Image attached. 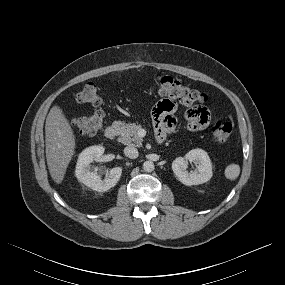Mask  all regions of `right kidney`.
Masks as SVG:
<instances>
[{
  "instance_id": "right-kidney-1",
  "label": "right kidney",
  "mask_w": 285,
  "mask_h": 285,
  "mask_svg": "<svg viewBox=\"0 0 285 285\" xmlns=\"http://www.w3.org/2000/svg\"><path fill=\"white\" fill-rule=\"evenodd\" d=\"M103 153L104 147L100 145L86 148L79 154L75 170V176L81 183L98 192H105L114 187L122 174L121 167H114L102 180L100 174L96 171H90V163L93 160H99Z\"/></svg>"
}]
</instances>
